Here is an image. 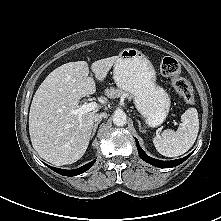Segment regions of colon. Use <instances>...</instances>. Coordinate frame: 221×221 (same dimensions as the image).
I'll list each match as a JSON object with an SVG mask.
<instances>
[{
    "mask_svg": "<svg viewBox=\"0 0 221 221\" xmlns=\"http://www.w3.org/2000/svg\"><path fill=\"white\" fill-rule=\"evenodd\" d=\"M160 72L172 81V85L183 101L192 104L195 99L194 91L190 83L181 76V66L172 57H165L160 63Z\"/></svg>",
    "mask_w": 221,
    "mask_h": 221,
    "instance_id": "obj_1",
    "label": "colon"
}]
</instances>
